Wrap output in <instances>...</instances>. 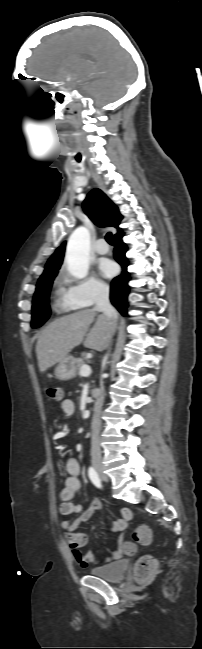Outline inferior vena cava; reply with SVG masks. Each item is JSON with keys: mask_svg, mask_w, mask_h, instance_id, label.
Wrapping results in <instances>:
<instances>
[{"mask_svg": "<svg viewBox=\"0 0 202 649\" xmlns=\"http://www.w3.org/2000/svg\"><path fill=\"white\" fill-rule=\"evenodd\" d=\"M95 310L102 312L107 317L115 320L117 319V312L109 302V287L107 285H102L97 288L96 298H95ZM103 401V390L99 392L96 400V411L98 412ZM99 428L100 423L98 415L95 416L93 422V434H92V443H91V455H100V444H99Z\"/></svg>", "mask_w": 202, "mask_h": 649, "instance_id": "1", "label": "inferior vena cava"}]
</instances>
